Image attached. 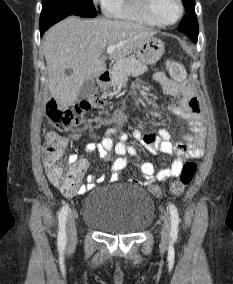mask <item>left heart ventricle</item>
Returning <instances> with one entry per match:
<instances>
[{
  "mask_svg": "<svg viewBox=\"0 0 233 284\" xmlns=\"http://www.w3.org/2000/svg\"><path fill=\"white\" fill-rule=\"evenodd\" d=\"M154 10L157 16L164 22H172L179 13L176 0H154Z\"/></svg>",
  "mask_w": 233,
  "mask_h": 284,
  "instance_id": "1",
  "label": "left heart ventricle"
}]
</instances>
